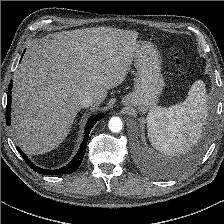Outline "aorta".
Segmentation results:
<instances>
[{"label":"aorta","mask_w":224,"mask_h":224,"mask_svg":"<svg viewBox=\"0 0 224 224\" xmlns=\"http://www.w3.org/2000/svg\"><path fill=\"white\" fill-rule=\"evenodd\" d=\"M109 129L112 131V132H120L122 130V121L119 117H112L110 120H109Z\"/></svg>","instance_id":"aorta-1"}]
</instances>
